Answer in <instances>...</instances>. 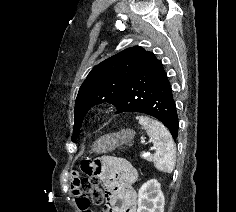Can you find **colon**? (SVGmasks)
<instances>
[{
  "mask_svg": "<svg viewBox=\"0 0 236 212\" xmlns=\"http://www.w3.org/2000/svg\"><path fill=\"white\" fill-rule=\"evenodd\" d=\"M81 167L83 171L87 172V176L80 181L81 190L84 192V194L90 197L91 201L94 204L97 205L104 204L105 200L104 186L106 184L100 172L96 170L94 164L88 161L83 162Z\"/></svg>",
  "mask_w": 236,
  "mask_h": 212,
  "instance_id": "1",
  "label": "colon"
}]
</instances>
